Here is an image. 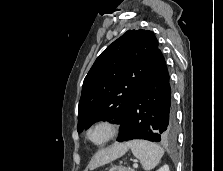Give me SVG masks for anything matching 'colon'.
Segmentation results:
<instances>
[{
	"instance_id": "1",
	"label": "colon",
	"mask_w": 223,
	"mask_h": 171,
	"mask_svg": "<svg viewBox=\"0 0 223 171\" xmlns=\"http://www.w3.org/2000/svg\"><path fill=\"white\" fill-rule=\"evenodd\" d=\"M109 171H130V169L125 166H114Z\"/></svg>"
}]
</instances>
